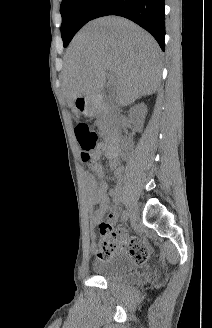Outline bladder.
<instances>
[{"label": "bladder", "instance_id": "obj_1", "mask_svg": "<svg viewBox=\"0 0 212 328\" xmlns=\"http://www.w3.org/2000/svg\"><path fill=\"white\" fill-rule=\"evenodd\" d=\"M96 275L110 282L132 284L141 279L137 265L130 263L125 257H112L104 261H96L92 265Z\"/></svg>", "mask_w": 212, "mask_h": 328}]
</instances>
